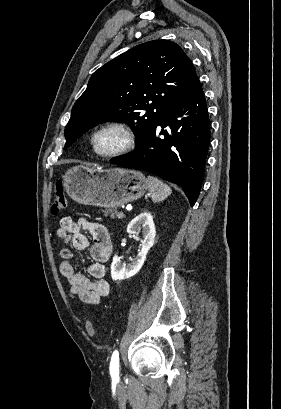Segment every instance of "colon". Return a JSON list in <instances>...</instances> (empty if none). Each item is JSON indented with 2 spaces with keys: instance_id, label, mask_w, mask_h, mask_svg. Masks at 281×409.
Here are the masks:
<instances>
[{
  "instance_id": "5ec220e1",
  "label": "colon",
  "mask_w": 281,
  "mask_h": 409,
  "mask_svg": "<svg viewBox=\"0 0 281 409\" xmlns=\"http://www.w3.org/2000/svg\"><path fill=\"white\" fill-rule=\"evenodd\" d=\"M55 202L54 211L56 213L64 211L67 208V199L65 195L64 188L61 184H56L54 188ZM86 328L88 329L89 335H94L97 333V327L92 322L86 323Z\"/></svg>"
}]
</instances>
